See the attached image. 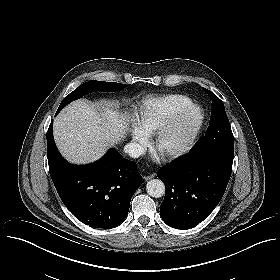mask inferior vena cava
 Listing matches in <instances>:
<instances>
[{"mask_svg": "<svg viewBox=\"0 0 280 280\" xmlns=\"http://www.w3.org/2000/svg\"><path fill=\"white\" fill-rule=\"evenodd\" d=\"M124 152L132 158H139L144 153V148L136 142H131L125 145Z\"/></svg>", "mask_w": 280, "mask_h": 280, "instance_id": "602c4592", "label": "inferior vena cava"}]
</instances>
